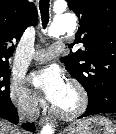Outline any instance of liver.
<instances>
[{"label":"liver","mask_w":116,"mask_h":134,"mask_svg":"<svg viewBox=\"0 0 116 134\" xmlns=\"http://www.w3.org/2000/svg\"><path fill=\"white\" fill-rule=\"evenodd\" d=\"M0 134H20V132L6 121H0Z\"/></svg>","instance_id":"6515ba94"}]
</instances>
